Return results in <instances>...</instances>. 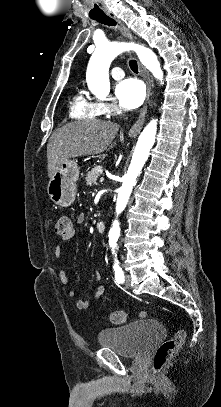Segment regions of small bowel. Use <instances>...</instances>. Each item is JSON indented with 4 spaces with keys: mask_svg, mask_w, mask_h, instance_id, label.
<instances>
[{
    "mask_svg": "<svg viewBox=\"0 0 221 407\" xmlns=\"http://www.w3.org/2000/svg\"><path fill=\"white\" fill-rule=\"evenodd\" d=\"M77 224H78L79 226H84V225L86 224V217H85V215L80 214V215L77 217ZM73 234H74V232L71 231L67 236L63 237L62 240H63V241H66V240L70 239V238L73 236ZM61 252H62L61 246H60V245H56V247H55V249H54V255H55L56 257H59V256L61 255ZM59 276H60V279H61L62 284H63L64 286H68V285H69V281H68V279H67V277H66V273H65L64 271H60ZM95 279H96L97 281L100 280V274H99L98 272L95 273ZM105 290H106L105 286H104L103 284H99V285L96 287V290H95V299H99V298L104 294ZM68 296H69L70 298H73V299H74V298L77 297V294H76V292H75L74 290H69V291H68ZM76 307H77L78 310L86 311V310L89 309L90 304H89V302H88L87 300H85V299H77V300H76Z\"/></svg>",
    "mask_w": 221,
    "mask_h": 407,
    "instance_id": "1",
    "label": "small bowel"
}]
</instances>
